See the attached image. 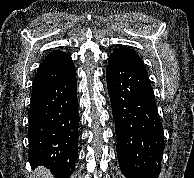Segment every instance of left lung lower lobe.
Returning a JSON list of instances; mask_svg holds the SVG:
<instances>
[{"instance_id": "1", "label": "left lung lower lobe", "mask_w": 194, "mask_h": 178, "mask_svg": "<svg viewBox=\"0 0 194 178\" xmlns=\"http://www.w3.org/2000/svg\"><path fill=\"white\" fill-rule=\"evenodd\" d=\"M106 77L122 173L157 178L164 136L148 73L109 56Z\"/></svg>"}]
</instances>
